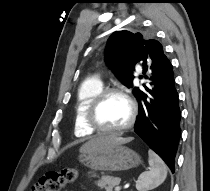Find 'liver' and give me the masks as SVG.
<instances>
[{"label":"liver","mask_w":210,"mask_h":191,"mask_svg":"<svg viewBox=\"0 0 210 191\" xmlns=\"http://www.w3.org/2000/svg\"><path fill=\"white\" fill-rule=\"evenodd\" d=\"M132 140V138H122L116 134L100 135L90 139L81 148L80 152L95 150L110 145L125 144Z\"/></svg>","instance_id":"1"}]
</instances>
